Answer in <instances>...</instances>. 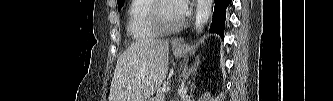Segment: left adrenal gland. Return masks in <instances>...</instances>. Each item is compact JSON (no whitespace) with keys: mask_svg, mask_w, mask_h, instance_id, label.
Masks as SVG:
<instances>
[{"mask_svg":"<svg viewBox=\"0 0 333 101\" xmlns=\"http://www.w3.org/2000/svg\"><path fill=\"white\" fill-rule=\"evenodd\" d=\"M199 64H200V61H199V59H198L197 62H196V64H195V66L192 67L191 69H189L188 73H186V75H185V80L188 79L189 75H190L192 72H195V71H196V69H197V67H198Z\"/></svg>","mask_w":333,"mask_h":101,"instance_id":"a2214340","label":"left adrenal gland"}]
</instances>
